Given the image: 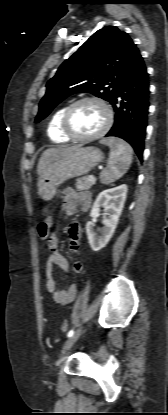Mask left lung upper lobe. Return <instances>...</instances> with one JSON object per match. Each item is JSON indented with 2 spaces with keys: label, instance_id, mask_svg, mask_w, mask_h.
Returning a JSON list of instances; mask_svg holds the SVG:
<instances>
[{
  "label": "left lung upper lobe",
  "instance_id": "obj_1",
  "mask_svg": "<svg viewBox=\"0 0 168 415\" xmlns=\"http://www.w3.org/2000/svg\"><path fill=\"white\" fill-rule=\"evenodd\" d=\"M139 55L132 39L117 27L96 31L48 81L35 122L75 93L88 92L111 103Z\"/></svg>",
  "mask_w": 168,
  "mask_h": 415
}]
</instances>
